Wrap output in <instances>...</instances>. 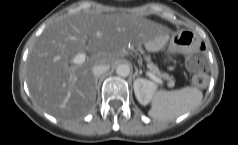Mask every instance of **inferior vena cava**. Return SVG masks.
<instances>
[{"label": "inferior vena cava", "instance_id": "1", "mask_svg": "<svg viewBox=\"0 0 238 145\" xmlns=\"http://www.w3.org/2000/svg\"><path fill=\"white\" fill-rule=\"evenodd\" d=\"M110 69V66L107 64H99L95 65L92 69L95 77H99L100 75L106 73Z\"/></svg>", "mask_w": 238, "mask_h": 145}]
</instances>
